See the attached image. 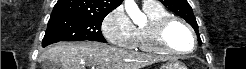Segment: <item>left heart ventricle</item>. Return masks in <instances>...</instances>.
<instances>
[{"label":"left heart ventricle","mask_w":246,"mask_h":69,"mask_svg":"<svg viewBox=\"0 0 246 69\" xmlns=\"http://www.w3.org/2000/svg\"><path fill=\"white\" fill-rule=\"evenodd\" d=\"M164 38L175 49H182L191 41L190 34L180 23H174L169 27Z\"/></svg>","instance_id":"1"}]
</instances>
